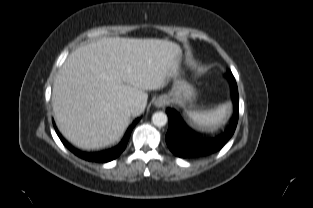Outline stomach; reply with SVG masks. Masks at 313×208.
I'll list each match as a JSON object with an SVG mask.
<instances>
[{
    "mask_svg": "<svg viewBox=\"0 0 313 208\" xmlns=\"http://www.w3.org/2000/svg\"><path fill=\"white\" fill-rule=\"evenodd\" d=\"M179 71L174 77V85L168 94L171 102L185 104L194 96V88L184 79L179 78Z\"/></svg>",
    "mask_w": 313,
    "mask_h": 208,
    "instance_id": "1",
    "label": "stomach"
}]
</instances>
